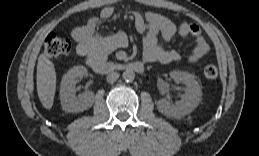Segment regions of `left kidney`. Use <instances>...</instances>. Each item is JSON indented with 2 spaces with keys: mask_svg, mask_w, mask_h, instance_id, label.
Here are the masks:
<instances>
[{
  "mask_svg": "<svg viewBox=\"0 0 259 156\" xmlns=\"http://www.w3.org/2000/svg\"><path fill=\"white\" fill-rule=\"evenodd\" d=\"M170 77L177 82H183L186 85L185 93L181 101L171 103L166 99L157 101L158 110L169 117L180 118L191 113L199 104L202 97V90L195 79V76L183 71H172Z\"/></svg>",
  "mask_w": 259,
  "mask_h": 156,
  "instance_id": "1",
  "label": "left kidney"
}]
</instances>
